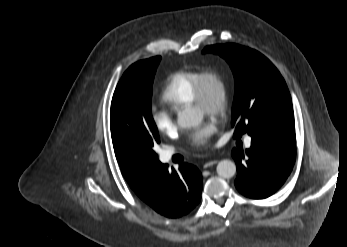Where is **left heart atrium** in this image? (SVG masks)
Segmentation results:
<instances>
[{
  "mask_svg": "<svg viewBox=\"0 0 347 247\" xmlns=\"http://www.w3.org/2000/svg\"><path fill=\"white\" fill-rule=\"evenodd\" d=\"M216 131L217 124L214 120L204 121L190 133V143L197 147L206 146Z\"/></svg>",
  "mask_w": 347,
  "mask_h": 247,
  "instance_id": "1",
  "label": "left heart atrium"
}]
</instances>
